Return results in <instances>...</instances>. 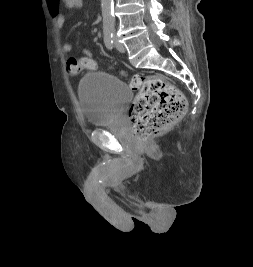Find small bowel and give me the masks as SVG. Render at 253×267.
Returning <instances> with one entry per match:
<instances>
[{"label":"small bowel","mask_w":253,"mask_h":267,"mask_svg":"<svg viewBox=\"0 0 253 267\" xmlns=\"http://www.w3.org/2000/svg\"><path fill=\"white\" fill-rule=\"evenodd\" d=\"M48 9L51 15L55 18L59 30L64 28L65 15L62 10V6L65 9H80L83 6V0H46ZM73 50V46L69 42H65L62 45V51L70 53Z\"/></svg>","instance_id":"obj_1"}]
</instances>
